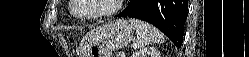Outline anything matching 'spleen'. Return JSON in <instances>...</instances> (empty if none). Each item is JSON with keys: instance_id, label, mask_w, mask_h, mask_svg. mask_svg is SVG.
<instances>
[{"instance_id": "1", "label": "spleen", "mask_w": 249, "mask_h": 57, "mask_svg": "<svg viewBox=\"0 0 249 57\" xmlns=\"http://www.w3.org/2000/svg\"><path fill=\"white\" fill-rule=\"evenodd\" d=\"M130 23L136 30L137 39L133 43L135 49H140L151 43H162V33L153 25L136 18H130Z\"/></svg>"}]
</instances>
